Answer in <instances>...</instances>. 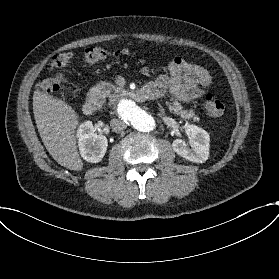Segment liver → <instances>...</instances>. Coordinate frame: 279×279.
Wrapping results in <instances>:
<instances>
[{"mask_svg": "<svg viewBox=\"0 0 279 279\" xmlns=\"http://www.w3.org/2000/svg\"><path fill=\"white\" fill-rule=\"evenodd\" d=\"M33 113L42 142L55 161L74 171H81L83 162L76 146L75 129L78 115L64 101L35 91Z\"/></svg>", "mask_w": 279, "mask_h": 279, "instance_id": "6515ba94", "label": "liver"}]
</instances>
